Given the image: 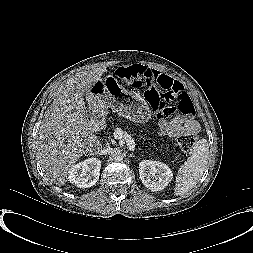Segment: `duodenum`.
Returning <instances> with one entry per match:
<instances>
[{"label": "duodenum", "mask_w": 253, "mask_h": 253, "mask_svg": "<svg viewBox=\"0 0 253 253\" xmlns=\"http://www.w3.org/2000/svg\"><path fill=\"white\" fill-rule=\"evenodd\" d=\"M88 116H89V122L93 126L101 127L103 125L105 113L102 108L94 107V108L90 109L88 112ZM96 147H97L96 144L91 145L92 149H94Z\"/></svg>", "instance_id": "duodenum-1"}]
</instances>
